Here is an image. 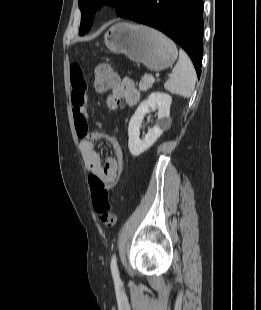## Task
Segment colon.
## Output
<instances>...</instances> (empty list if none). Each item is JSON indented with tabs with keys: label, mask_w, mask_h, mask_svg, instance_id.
<instances>
[{
	"label": "colon",
	"mask_w": 261,
	"mask_h": 310,
	"mask_svg": "<svg viewBox=\"0 0 261 310\" xmlns=\"http://www.w3.org/2000/svg\"><path fill=\"white\" fill-rule=\"evenodd\" d=\"M115 82L116 76L108 64L101 63L95 68L93 87L96 92H106L112 88ZM114 147L116 150L119 167L122 169L124 163L122 147L118 142L114 143ZM89 186L91 190L93 208L98 213L100 222L106 227H113L116 223V216L109 212V189L113 186L105 183L101 178L94 174L89 176Z\"/></svg>",
	"instance_id": "colon-1"
}]
</instances>
